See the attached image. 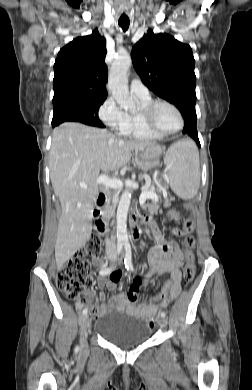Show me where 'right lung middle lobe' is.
<instances>
[{
    "label": "right lung middle lobe",
    "mask_w": 252,
    "mask_h": 390,
    "mask_svg": "<svg viewBox=\"0 0 252 390\" xmlns=\"http://www.w3.org/2000/svg\"><path fill=\"white\" fill-rule=\"evenodd\" d=\"M105 99L66 98L53 102L52 126L62 122L75 121L104 128L98 118L99 107Z\"/></svg>",
    "instance_id": "dd1d6c3e"
}]
</instances>
